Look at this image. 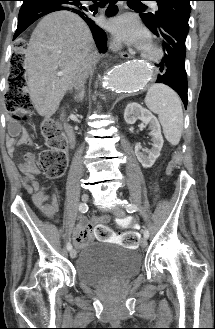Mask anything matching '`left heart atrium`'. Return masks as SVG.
<instances>
[{
	"instance_id": "left-heart-atrium-1",
	"label": "left heart atrium",
	"mask_w": 215,
	"mask_h": 329,
	"mask_svg": "<svg viewBox=\"0 0 215 329\" xmlns=\"http://www.w3.org/2000/svg\"><path fill=\"white\" fill-rule=\"evenodd\" d=\"M109 28L118 41L140 49H146L150 45L149 33L131 14L114 18L110 21Z\"/></svg>"
}]
</instances>
